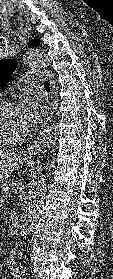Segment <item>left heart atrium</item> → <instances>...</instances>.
Listing matches in <instances>:
<instances>
[{"mask_svg": "<svg viewBox=\"0 0 113 279\" xmlns=\"http://www.w3.org/2000/svg\"><path fill=\"white\" fill-rule=\"evenodd\" d=\"M45 113V107L39 105L36 100H26L22 106V114L27 131L35 129Z\"/></svg>", "mask_w": 113, "mask_h": 279, "instance_id": "1", "label": "left heart atrium"}]
</instances>
